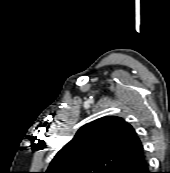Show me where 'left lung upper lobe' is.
<instances>
[{"instance_id": "left-lung-upper-lobe-1", "label": "left lung upper lobe", "mask_w": 170, "mask_h": 173, "mask_svg": "<svg viewBox=\"0 0 170 173\" xmlns=\"http://www.w3.org/2000/svg\"><path fill=\"white\" fill-rule=\"evenodd\" d=\"M142 154L133 127L120 117L107 116L82 126L45 173H115Z\"/></svg>"}]
</instances>
